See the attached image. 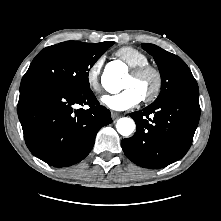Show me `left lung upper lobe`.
I'll return each mask as SVG.
<instances>
[{
    "instance_id": "obj_1",
    "label": "left lung upper lobe",
    "mask_w": 221,
    "mask_h": 221,
    "mask_svg": "<svg viewBox=\"0 0 221 221\" xmlns=\"http://www.w3.org/2000/svg\"><path fill=\"white\" fill-rule=\"evenodd\" d=\"M141 46L154 57L161 74V92L153 104L177 95L199 96L197 82L180 57L154 44L143 43Z\"/></svg>"
}]
</instances>
